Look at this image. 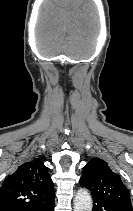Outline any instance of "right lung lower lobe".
I'll return each mask as SVG.
<instances>
[{
  "label": "right lung lower lobe",
  "instance_id": "98d812e1",
  "mask_svg": "<svg viewBox=\"0 0 133 211\" xmlns=\"http://www.w3.org/2000/svg\"><path fill=\"white\" fill-rule=\"evenodd\" d=\"M53 209H54V198L49 202L36 206L31 211H53Z\"/></svg>",
  "mask_w": 133,
  "mask_h": 211
}]
</instances>
